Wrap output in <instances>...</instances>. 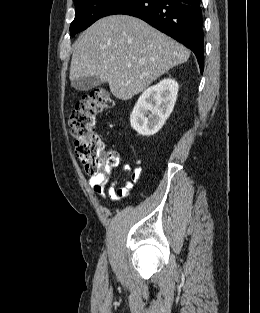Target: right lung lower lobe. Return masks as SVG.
<instances>
[{"label": "right lung lower lobe", "instance_id": "98d812e1", "mask_svg": "<svg viewBox=\"0 0 260 313\" xmlns=\"http://www.w3.org/2000/svg\"><path fill=\"white\" fill-rule=\"evenodd\" d=\"M201 0H119L103 17H138L190 48L204 69V33Z\"/></svg>", "mask_w": 260, "mask_h": 313}]
</instances>
